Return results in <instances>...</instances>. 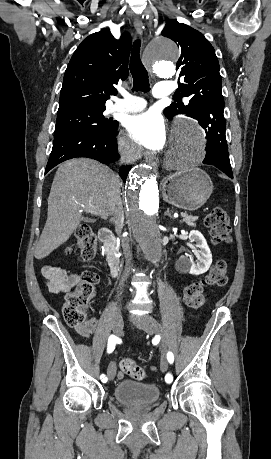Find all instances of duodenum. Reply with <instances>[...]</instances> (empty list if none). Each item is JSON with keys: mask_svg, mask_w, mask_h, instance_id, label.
<instances>
[{"mask_svg": "<svg viewBox=\"0 0 271 459\" xmlns=\"http://www.w3.org/2000/svg\"><path fill=\"white\" fill-rule=\"evenodd\" d=\"M99 240L103 244L106 251V259L112 275H117L119 269L118 260L114 254L113 234L108 227H103L99 230Z\"/></svg>", "mask_w": 271, "mask_h": 459, "instance_id": "1", "label": "duodenum"}]
</instances>
